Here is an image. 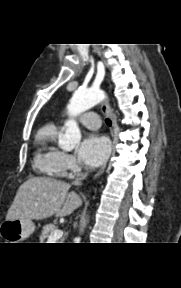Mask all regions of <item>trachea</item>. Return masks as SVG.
<instances>
[{
	"instance_id": "obj_1",
	"label": "trachea",
	"mask_w": 181,
	"mask_h": 288,
	"mask_svg": "<svg viewBox=\"0 0 181 288\" xmlns=\"http://www.w3.org/2000/svg\"><path fill=\"white\" fill-rule=\"evenodd\" d=\"M105 122H106V124H107L108 126H111V125H112V122H111V120H110L109 118H106V119H105Z\"/></svg>"
}]
</instances>
